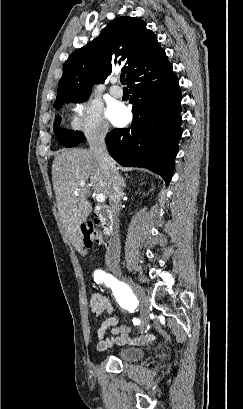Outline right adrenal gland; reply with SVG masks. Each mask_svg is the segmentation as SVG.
<instances>
[{"mask_svg": "<svg viewBox=\"0 0 243 409\" xmlns=\"http://www.w3.org/2000/svg\"><path fill=\"white\" fill-rule=\"evenodd\" d=\"M121 183H122V187L125 189L126 188V184L123 178H121Z\"/></svg>", "mask_w": 243, "mask_h": 409, "instance_id": "1", "label": "right adrenal gland"}]
</instances>
